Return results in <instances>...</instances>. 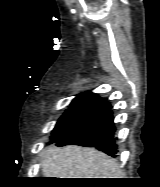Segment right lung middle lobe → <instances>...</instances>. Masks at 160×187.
<instances>
[{"instance_id": "obj_1", "label": "right lung middle lobe", "mask_w": 160, "mask_h": 187, "mask_svg": "<svg viewBox=\"0 0 160 187\" xmlns=\"http://www.w3.org/2000/svg\"><path fill=\"white\" fill-rule=\"evenodd\" d=\"M96 108L94 105H71L52 131L51 142L58 141L75 131L92 116Z\"/></svg>"}]
</instances>
